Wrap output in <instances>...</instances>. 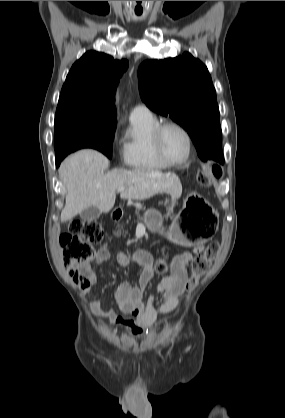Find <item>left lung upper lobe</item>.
I'll return each mask as SVG.
<instances>
[{"label": "left lung upper lobe", "mask_w": 285, "mask_h": 418, "mask_svg": "<svg viewBox=\"0 0 285 418\" xmlns=\"http://www.w3.org/2000/svg\"><path fill=\"white\" fill-rule=\"evenodd\" d=\"M141 99L153 111L170 116L195 143L198 156L224 163L215 88L207 67L190 53L147 60L138 71Z\"/></svg>", "instance_id": "left-lung-upper-lobe-1"}]
</instances>
